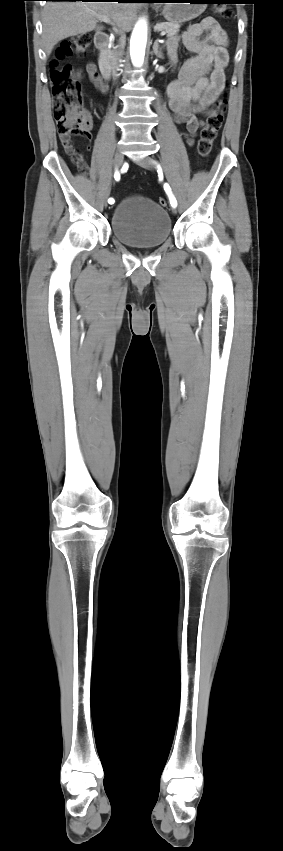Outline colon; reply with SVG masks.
<instances>
[{
  "label": "colon",
  "mask_w": 283,
  "mask_h": 851,
  "mask_svg": "<svg viewBox=\"0 0 283 851\" xmlns=\"http://www.w3.org/2000/svg\"><path fill=\"white\" fill-rule=\"evenodd\" d=\"M215 14L222 18L231 16V10L226 5L217 6ZM91 38L87 33L72 36L61 43L56 51V59L51 64L50 80L54 97L53 116L57 124L60 140H71L72 136L86 139L90 137V122L82 107L83 99L79 82L74 78L73 69L69 65L59 66L58 61L73 55H83L88 50ZM226 101L218 100L212 113L208 116L200 132L197 150L200 156L210 154L214 141L223 125ZM71 160L81 170H85L84 158L78 152L71 153ZM162 206L167 204L165 198H160Z\"/></svg>",
  "instance_id": "5ec220e1"
}]
</instances>
